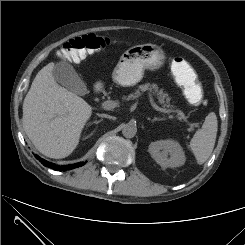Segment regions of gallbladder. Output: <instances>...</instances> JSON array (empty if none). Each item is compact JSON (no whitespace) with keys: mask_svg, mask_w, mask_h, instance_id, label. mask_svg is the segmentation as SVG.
Masks as SVG:
<instances>
[{"mask_svg":"<svg viewBox=\"0 0 245 245\" xmlns=\"http://www.w3.org/2000/svg\"><path fill=\"white\" fill-rule=\"evenodd\" d=\"M53 78L59 84L78 95H85L87 88L76 70L68 62L57 63L52 71Z\"/></svg>","mask_w":245,"mask_h":245,"instance_id":"bac80fb5","label":"gallbladder"}]
</instances>
